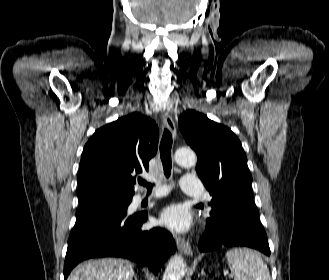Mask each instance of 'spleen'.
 <instances>
[{
  "mask_svg": "<svg viewBox=\"0 0 329 280\" xmlns=\"http://www.w3.org/2000/svg\"><path fill=\"white\" fill-rule=\"evenodd\" d=\"M226 259L234 280H271L262 258L248 248L231 249L226 253Z\"/></svg>",
  "mask_w": 329,
  "mask_h": 280,
  "instance_id": "obj_1",
  "label": "spleen"
}]
</instances>
